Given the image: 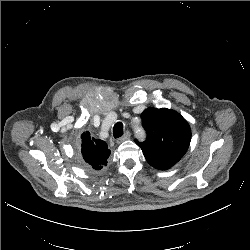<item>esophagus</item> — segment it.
I'll list each match as a JSON object with an SVG mask.
<instances>
[{
    "label": "esophagus",
    "instance_id": "esophagus-1",
    "mask_svg": "<svg viewBox=\"0 0 250 250\" xmlns=\"http://www.w3.org/2000/svg\"><path fill=\"white\" fill-rule=\"evenodd\" d=\"M130 136H131V133L129 131L125 132V134L117 140V143L120 144L123 141L128 140Z\"/></svg>",
    "mask_w": 250,
    "mask_h": 250
}]
</instances>
